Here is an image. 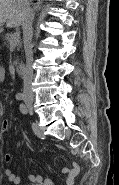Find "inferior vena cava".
<instances>
[{
	"instance_id": "inferior-vena-cava-1",
	"label": "inferior vena cava",
	"mask_w": 119,
	"mask_h": 185,
	"mask_svg": "<svg viewBox=\"0 0 119 185\" xmlns=\"http://www.w3.org/2000/svg\"><path fill=\"white\" fill-rule=\"evenodd\" d=\"M26 5L25 17L22 22L23 28V38H24V49L26 55V70L23 76V97L25 99L33 100L34 94L32 90V80H33V51H32V38H33V28L32 20L33 13L31 12L28 4V0H23Z\"/></svg>"
}]
</instances>
